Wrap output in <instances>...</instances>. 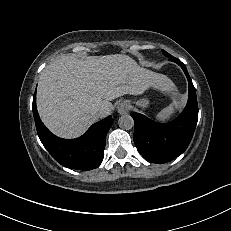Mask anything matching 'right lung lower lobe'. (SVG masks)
Here are the masks:
<instances>
[{"label": "right lung lower lobe", "mask_w": 231, "mask_h": 231, "mask_svg": "<svg viewBox=\"0 0 231 231\" xmlns=\"http://www.w3.org/2000/svg\"><path fill=\"white\" fill-rule=\"evenodd\" d=\"M33 115L42 144L58 163L78 170H92L101 164L106 134L113 124L112 116L93 124L81 137L66 140L56 137L43 125L36 109L35 94Z\"/></svg>", "instance_id": "98d812e1"}]
</instances>
